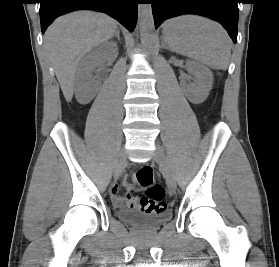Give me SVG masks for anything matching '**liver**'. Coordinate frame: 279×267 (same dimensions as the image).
Returning <instances> with one entry per match:
<instances>
[{
	"label": "liver",
	"mask_w": 279,
	"mask_h": 267,
	"mask_svg": "<svg viewBox=\"0 0 279 267\" xmlns=\"http://www.w3.org/2000/svg\"><path fill=\"white\" fill-rule=\"evenodd\" d=\"M116 21L103 13L76 11L57 18L45 33V49L53 64L63 95L69 102L81 58L92 48L112 38Z\"/></svg>",
	"instance_id": "obj_1"
}]
</instances>
